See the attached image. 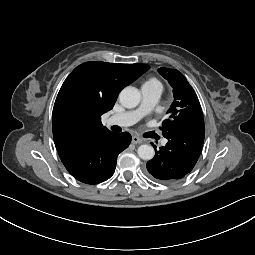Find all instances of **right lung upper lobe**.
Here are the masks:
<instances>
[{
	"mask_svg": "<svg viewBox=\"0 0 255 255\" xmlns=\"http://www.w3.org/2000/svg\"><path fill=\"white\" fill-rule=\"evenodd\" d=\"M150 68L146 64L85 62L64 81L55 100L52 129L61 149L78 140L111 132L101 116L111 110L121 89Z\"/></svg>",
	"mask_w": 255,
	"mask_h": 255,
	"instance_id": "obj_1",
	"label": "right lung upper lobe"
}]
</instances>
